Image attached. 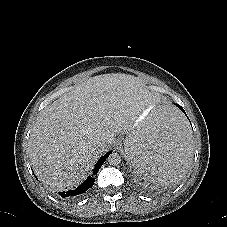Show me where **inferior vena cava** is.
<instances>
[{
	"label": "inferior vena cava",
	"instance_id": "1",
	"mask_svg": "<svg viewBox=\"0 0 227 227\" xmlns=\"http://www.w3.org/2000/svg\"><path fill=\"white\" fill-rule=\"evenodd\" d=\"M104 144L105 143L102 142V141H97V142H94L93 146H94L95 149H99V148L103 147Z\"/></svg>",
	"mask_w": 227,
	"mask_h": 227
}]
</instances>
